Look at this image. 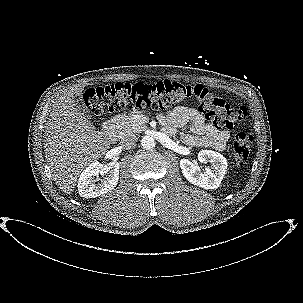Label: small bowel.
<instances>
[{
  "mask_svg": "<svg viewBox=\"0 0 303 303\" xmlns=\"http://www.w3.org/2000/svg\"><path fill=\"white\" fill-rule=\"evenodd\" d=\"M158 120L169 135H174L178 128L190 124L192 133L180 134L181 140L187 145L210 147L218 151L226 149L229 131L221 129L214 123L206 122L204 116L194 108L178 105L167 114L159 115Z\"/></svg>",
  "mask_w": 303,
  "mask_h": 303,
  "instance_id": "1",
  "label": "small bowel"
}]
</instances>
